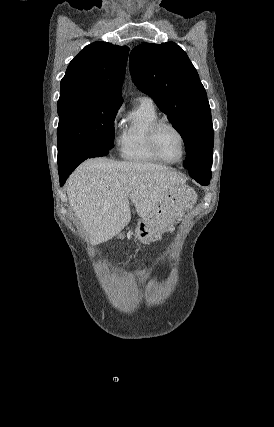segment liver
Wrapping results in <instances>:
<instances>
[{
    "mask_svg": "<svg viewBox=\"0 0 274 427\" xmlns=\"http://www.w3.org/2000/svg\"><path fill=\"white\" fill-rule=\"evenodd\" d=\"M185 182L186 178L166 166L94 158L71 174L66 192L71 210L84 225L90 243L96 245L128 225L129 200L140 217H148L161 202H182ZM192 206L188 202L183 210Z\"/></svg>",
    "mask_w": 274,
    "mask_h": 427,
    "instance_id": "liver-1",
    "label": "liver"
}]
</instances>
